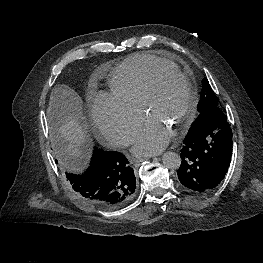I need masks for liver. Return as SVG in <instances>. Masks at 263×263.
I'll list each match as a JSON object with an SVG mask.
<instances>
[{
	"instance_id": "6515ba94",
	"label": "liver",
	"mask_w": 263,
	"mask_h": 263,
	"mask_svg": "<svg viewBox=\"0 0 263 263\" xmlns=\"http://www.w3.org/2000/svg\"><path fill=\"white\" fill-rule=\"evenodd\" d=\"M50 109L51 114L58 120L56 130L64 143V154L70 159H81L88 136L79 121L80 97L68 86H58L52 91Z\"/></svg>"
}]
</instances>
